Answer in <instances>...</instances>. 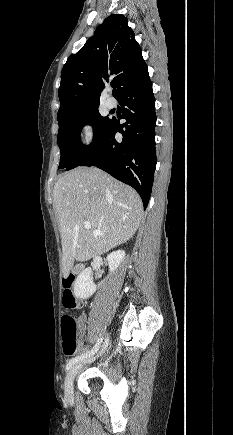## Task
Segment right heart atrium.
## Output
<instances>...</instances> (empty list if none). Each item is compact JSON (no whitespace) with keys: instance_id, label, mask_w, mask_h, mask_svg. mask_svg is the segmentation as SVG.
<instances>
[{"instance_id":"1","label":"right heart atrium","mask_w":233,"mask_h":435,"mask_svg":"<svg viewBox=\"0 0 233 435\" xmlns=\"http://www.w3.org/2000/svg\"><path fill=\"white\" fill-rule=\"evenodd\" d=\"M83 134H84V141L87 144H90L94 141L95 129L92 123L86 122L83 124Z\"/></svg>"}]
</instances>
